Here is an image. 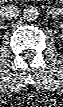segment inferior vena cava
<instances>
[{"instance_id":"602c4592","label":"inferior vena cava","mask_w":63,"mask_h":107,"mask_svg":"<svg viewBox=\"0 0 63 107\" xmlns=\"http://www.w3.org/2000/svg\"><path fill=\"white\" fill-rule=\"evenodd\" d=\"M18 10L14 5L2 6L0 16L2 19L10 20L17 16Z\"/></svg>"}]
</instances>
